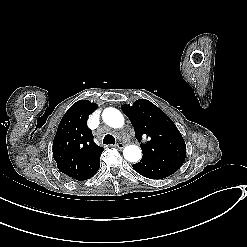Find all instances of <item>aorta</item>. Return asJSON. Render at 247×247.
<instances>
[{"mask_svg": "<svg viewBox=\"0 0 247 247\" xmlns=\"http://www.w3.org/2000/svg\"><path fill=\"white\" fill-rule=\"evenodd\" d=\"M102 118L103 121L112 128H121L124 124L122 113L112 107L104 109ZM123 156L127 161L137 163L142 157V151L136 145H127L123 150Z\"/></svg>", "mask_w": 247, "mask_h": 247, "instance_id": "aorta-1", "label": "aorta"}]
</instances>
